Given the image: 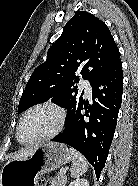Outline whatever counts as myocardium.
<instances>
[{
	"label": "myocardium",
	"mask_w": 138,
	"mask_h": 186,
	"mask_svg": "<svg viewBox=\"0 0 138 186\" xmlns=\"http://www.w3.org/2000/svg\"><path fill=\"white\" fill-rule=\"evenodd\" d=\"M42 108H48V109H51L53 111H55L58 116H59V122H58V125L57 127L51 131L50 133L46 134V135H43V136H40L38 138H34L32 140H29V141H25L21 138L20 136V129H21V126L23 124V121L25 120V118L33 111L35 110H38V109H42ZM65 123H66V112L63 108H61L60 106H58L57 104L55 103H52V102H43V103H39V104H36L32 107H30L29 109H27L23 115L21 116L20 120H19V123H18V126H17V129H16V136H17V139L20 143L22 144H33V143H37V142H41V141H45V140H48V139H51L53 137H55L57 134H59L64 126H65Z\"/></svg>",
	"instance_id": "1"
}]
</instances>
